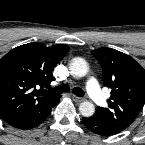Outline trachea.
<instances>
[{
  "label": "trachea",
  "mask_w": 145,
  "mask_h": 145,
  "mask_svg": "<svg viewBox=\"0 0 145 145\" xmlns=\"http://www.w3.org/2000/svg\"><path fill=\"white\" fill-rule=\"evenodd\" d=\"M52 91L64 93L69 92L70 88L67 84H62L57 87L51 88ZM72 93L77 95L78 97H83L85 95L84 91L79 87H74Z\"/></svg>",
  "instance_id": "3493384b"
}]
</instances>
